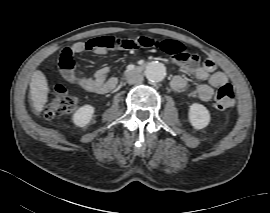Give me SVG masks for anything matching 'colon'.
<instances>
[{"label":"colon","mask_w":270,"mask_h":213,"mask_svg":"<svg viewBox=\"0 0 270 213\" xmlns=\"http://www.w3.org/2000/svg\"><path fill=\"white\" fill-rule=\"evenodd\" d=\"M133 44L136 46L147 48L162 47V42L148 36H140L133 39ZM167 52L174 60L179 61L183 58V46L180 43L166 44ZM195 61H199L200 57L197 54L192 55ZM60 68L64 70H72L74 64L70 59H60ZM234 102V89L230 84H225L217 91L213 104L218 109H227ZM77 107L75 96L64 86H57L51 92L50 101L44 106L43 117L50 120L56 116L72 113Z\"/></svg>","instance_id":"1"}]
</instances>
